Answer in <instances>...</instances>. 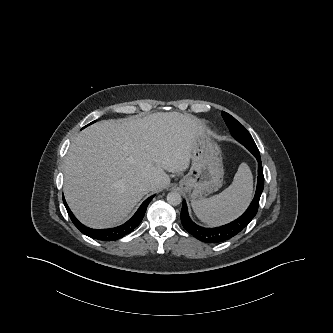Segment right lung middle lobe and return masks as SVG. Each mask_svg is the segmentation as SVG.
Returning a JSON list of instances; mask_svg holds the SVG:
<instances>
[{
	"instance_id": "dd1d6c3e",
	"label": "right lung middle lobe",
	"mask_w": 333,
	"mask_h": 333,
	"mask_svg": "<svg viewBox=\"0 0 333 333\" xmlns=\"http://www.w3.org/2000/svg\"><path fill=\"white\" fill-rule=\"evenodd\" d=\"M92 123H94V121H93ZM92 123H90V124H92ZM90 124H88V125H90ZM88 125H87V126H88Z\"/></svg>"
}]
</instances>
